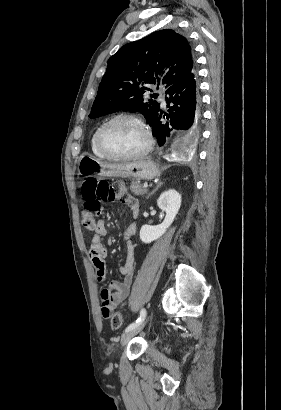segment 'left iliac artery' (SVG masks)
Here are the masks:
<instances>
[{
	"label": "left iliac artery",
	"instance_id": "44dca946",
	"mask_svg": "<svg viewBox=\"0 0 281 410\" xmlns=\"http://www.w3.org/2000/svg\"><path fill=\"white\" fill-rule=\"evenodd\" d=\"M145 316H146V310H145V309H142L141 312H140V315H139L138 319H137L135 322L131 323V324L125 329V332H127V331L133 329L134 327H136L139 323H141V322L144 320Z\"/></svg>",
	"mask_w": 281,
	"mask_h": 410
}]
</instances>
